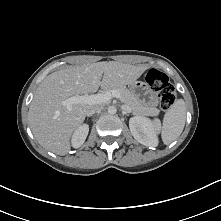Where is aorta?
Masks as SVG:
<instances>
[{
  "mask_svg": "<svg viewBox=\"0 0 221 221\" xmlns=\"http://www.w3.org/2000/svg\"><path fill=\"white\" fill-rule=\"evenodd\" d=\"M117 112V108L115 106H109L108 107V113L113 115Z\"/></svg>",
  "mask_w": 221,
  "mask_h": 221,
  "instance_id": "obj_1",
  "label": "aorta"
}]
</instances>
